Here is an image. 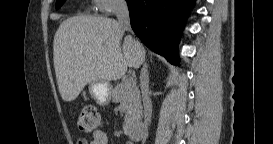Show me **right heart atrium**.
<instances>
[{
    "instance_id": "1",
    "label": "right heart atrium",
    "mask_w": 273,
    "mask_h": 144,
    "mask_svg": "<svg viewBox=\"0 0 273 144\" xmlns=\"http://www.w3.org/2000/svg\"><path fill=\"white\" fill-rule=\"evenodd\" d=\"M95 8L103 14H112L125 5L124 0H94Z\"/></svg>"
}]
</instances>
